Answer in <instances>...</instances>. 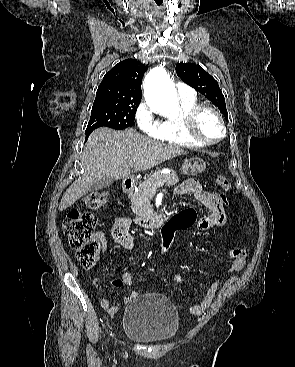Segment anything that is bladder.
<instances>
[{"instance_id":"1","label":"bladder","mask_w":295,"mask_h":367,"mask_svg":"<svg viewBox=\"0 0 295 367\" xmlns=\"http://www.w3.org/2000/svg\"><path fill=\"white\" fill-rule=\"evenodd\" d=\"M179 314L173 303L161 294L136 296L124 309V334L144 343L165 342L175 337Z\"/></svg>"}]
</instances>
